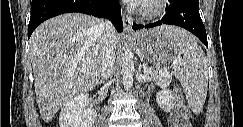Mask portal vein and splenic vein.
Instances as JSON below:
<instances>
[{
	"label": "portal vein and splenic vein",
	"instance_id": "18ae733b",
	"mask_svg": "<svg viewBox=\"0 0 243 127\" xmlns=\"http://www.w3.org/2000/svg\"><path fill=\"white\" fill-rule=\"evenodd\" d=\"M150 68H147L146 66L144 67V74H148L150 72ZM163 75L165 76H170L169 71L165 70V71H160Z\"/></svg>",
	"mask_w": 243,
	"mask_h": 127
}]
</instances>
